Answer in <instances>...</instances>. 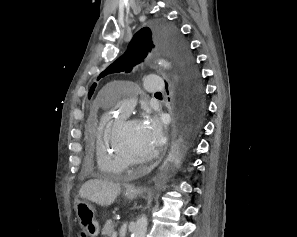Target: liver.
<instances>
[{
	"instance_id": "liver-1",
	"label": "liver",
	"mask_w": 297,
	"mask_h": 237,
	"mask_svg": "<svg viewBox=\"0 0 297 237\" xmlns=\"http://www.w3.org/2000/svg\"><path fill=\"white\" fill-rule=\"evenodd\" d=\"M120 192L119 184L101 179H91L82 185L79 195L100 206H109L116 200Z\"/></svg>"
}]
</instances>
